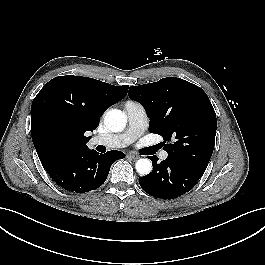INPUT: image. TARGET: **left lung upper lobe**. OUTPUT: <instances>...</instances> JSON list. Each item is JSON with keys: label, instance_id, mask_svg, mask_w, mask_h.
Returning <instances> with one entry per match:
<instances>
[{"label": "left lung upper lobe", "instance_id": "obj_1", "mask_svg": "<svg viewBox=\"0 0 265 265\" xmlns=\"http://www.w3.org/2000/svg\"><path fill=\"white\" fill-rule=\"evenodd\" d=\"M128 94L145 108L150 118L149 131L163 137L168 158L205 172L217 129L207 94L176 77L130 86Z\"/></svg>", "mask_w": 265, "mask_h": 265}]
</instances>
